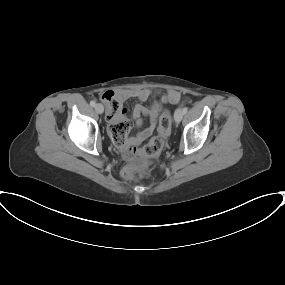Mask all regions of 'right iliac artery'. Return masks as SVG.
<instances>
[{
    "label": "right iliac artery",
    "instance_id": "obj_1",
    "mask_svg": "<svg viewBox=\"0 0 285 285\" xmlns=\"http://www.w3.org/2000/svg\"><path fill=\"white\" fill-rule=\"evenodd\" d=\"M90 105H91L92 107H94V106L96 105L95 101H91V102H90Z\"/></svg>",
    "mask_w": 285,
    "mask_h": 285
}]
</instances>
